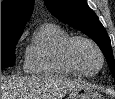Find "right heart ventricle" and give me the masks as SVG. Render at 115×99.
Listing matches in <instances>:
<instances>
[{
	"label": "right heart ventricle",
	"mask_w": 115,
	"mask_h": 99,
	"mask_svg": "<svg viewBox=\"0 0 115 99\" xmlns=\"http://www.w3.org/2000/svg\"><path fill=\"white\" fill-rule=\"evenodd\" d=\"M71 34L54 23L43 24L26 53L25 70L42 76H77L65 61L63 47Z\"/></svg>",
	"instance_id": "obj_1"
}]
</instances>
